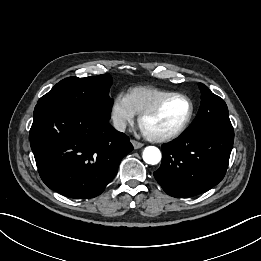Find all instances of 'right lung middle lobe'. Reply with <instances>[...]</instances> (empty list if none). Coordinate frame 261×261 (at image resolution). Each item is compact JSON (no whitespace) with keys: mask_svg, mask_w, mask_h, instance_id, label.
Wrapping results in <instances>:
<instances>
[{"mask_svg":"<svg viewBox=\"0 0 261 261\" xmlns=\"http://www.w3.org/2000/svg\"><path fill=\"white\" fill-rule=\"evenodd\" d=\"M111 84L109 74L87 78L68 77L42 96L37 105L87 110L109 120L113 106V100L109 97Z\"/></svg>","mask_w":261,"mask_h":261,"instance_id":"1","label":"right lung middle lobe"}]
</instances>
